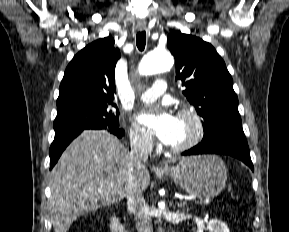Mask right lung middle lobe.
<instances>
[{
    "label": "right lung middle lobe",
    "instance_id": "1",
    "mask_svg": "<svg viewBox=\"0 0 289 232\" xmlns=\"http://www.w3.org/2000/svg\"><path fill=\"white\" fill-rule=\"evenodd\" d=\"M114 102L81 101L57 107L55 134L71 129L119 127V112Z\"/></svg>",
    "mask_w": 289,
    "mask_h": 232
}]
</instances>
